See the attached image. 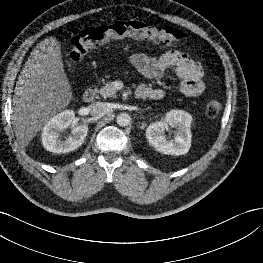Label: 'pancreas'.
<instances>
[{"label":"pancreas","instance_id":"obj_1","mask_svg":"<svg viewBox=\"0 0 263 263\" xmlns=\"http://www.w3.org/2000/svg\"><path fill=\"white\" fill-rule=\"evenodd\" d=\"M113 82L106 83L103 87H101L98 92L101 94L103 98H114L116 97V89L113 86Z\"/></svg>","mask_w":263,"mask_h":263}]
</instances>
